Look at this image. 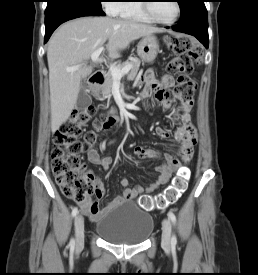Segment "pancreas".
<instances>
[{
  "label": "pancreas",
  "instance_id": "obj_1",
  "mask_svg": "<svg viewBox=\"0 0 258 275\" xmlns=\"http://www.w3.org/2000/svg\"><path fill=\"white\" fill-rule=\"evenodd\" d=\"M140 64H141V61L138 58H130L123 64V67L127 65L132 66L127 75V78L129 80H133L136 77ZM117 68L121 69L120 66H118ZM113 81L114 79H113L112 73L111 71H108L105 74V82L102 85L103 97H109L111 95Z\"/></svg>",
  "mask_w": 258,
  "mask_h": 275
}]
</instances>
